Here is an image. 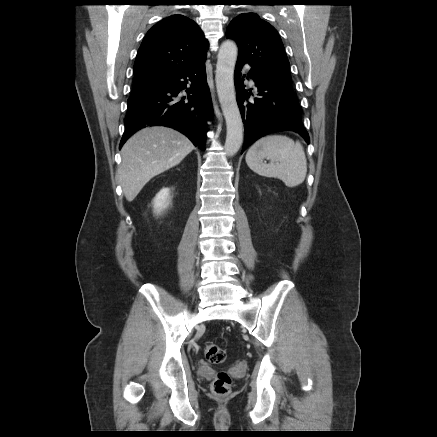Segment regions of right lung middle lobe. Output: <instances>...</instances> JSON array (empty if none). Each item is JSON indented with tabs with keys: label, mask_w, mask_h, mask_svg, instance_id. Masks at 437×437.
Segmentation results:
<instances>
[{
	"label": "right lung middle lobe",
	"mask_w": 437,
	"mask_h": 437,
	"mask_svg": "<svg viewBox=\"0 0 437 437\" xmlns=\"http://www.w3.org/2000/svg\"><path fill=\"white\" fill-rule=\"evenodd\" d=\"M160 81H141L133 84L132 94L139 93L156 86Z\"/></svg>",
	"instance_id": "right-lung-middle-lobe-1"
}]
</instances>
